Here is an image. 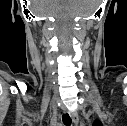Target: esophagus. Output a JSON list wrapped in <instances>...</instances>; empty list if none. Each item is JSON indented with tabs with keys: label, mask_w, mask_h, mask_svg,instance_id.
<instances>
[{
	"label": "esophagus",
	"mask_w": 127,
	"mask_h": 126,
	"mask_svg": "<svg viewBox=\"0 0 127 126\" xmlns=\"http://www.w3.org/2000/svg\"><path fill=\"white\" fill-rule=\"evenodd\" d=\"M69 115H70V117H71L73 123H74L75 125H77V124L79 123V117H78L77 112L71 111V112H69Z\"/></svg>",
	"instance_id": "esophagus-1"
}]
</instances>
